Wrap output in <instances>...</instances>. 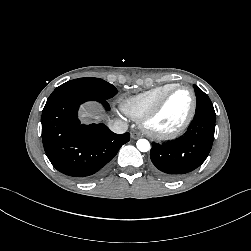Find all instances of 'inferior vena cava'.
<instances>
[{
  "label": "inferior vena cava",
  "instance_id": "obj_1",
  "mask_svg": "<svg viewBox=\"0 0 251 251\" xmlns=\"http://www.w3.org/2000/svg\"><path fill=\"white\" fill-rule=\"evenodd\" d=\"M108 127L111 131L117 134H123L128 129V124L120 119L109 122Z\"/></svg>",
  "mask_w": 251,
  "mask_h": 251
}]
</instances>
